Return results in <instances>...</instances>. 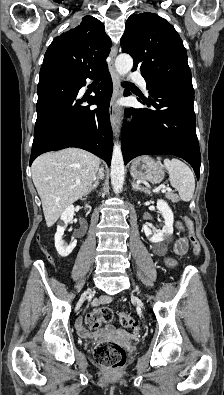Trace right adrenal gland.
I'll list each match as a JSON object with an SVG mask.
<instances>
[{
	"mask_svg": "<svg viewBox=\"0 0 224 395\" xmlns=\"http://www.w3.org/2000/svg\"><path fill=\"white\" fill-rule=\"evenodd\" d=\"M98 185H99V178L97 177V178L94 180V184L89 188V192L96 190V188L98 187Z\"/></svg>",
	"mask_w": 224,
	"mask_h": 395,
	"instance_id": "right-adrenal-gland-1",
	"label": "right adrenal gland"
}]
</instances>
